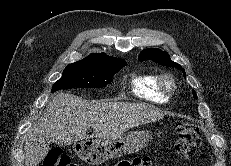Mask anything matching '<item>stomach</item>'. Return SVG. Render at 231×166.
<instances>
[{"label": "stomach", "mask_w": 231, "mask_h": 166, "mask_svg": "<svg viewBox=\"0 0 231 166\" xmlns=\"http://www.w3.org/2000/svg\"><path fill=\"white\" fill-rule=\"evenodd\" d=\"M151 133L148 131H133L116 139H86L74 143L73 149L84 162L97 165L108 159H114L126 154H133L145 148Z\"/></svg>", "instance_id": "obj_1"}]
</instances>
